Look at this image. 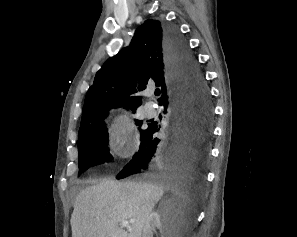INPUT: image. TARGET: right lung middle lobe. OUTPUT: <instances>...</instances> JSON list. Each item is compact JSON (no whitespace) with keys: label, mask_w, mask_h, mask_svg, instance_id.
Instances as JSON below:
<instances>
[{"label":"right lung middle lobe","mask_w":297,"mask_h":237,"mask_svg":"<svg viewBox=\"0 0 297 237\" xmlns=\"http://www.w3.org/2000/svg\"><path fill=\"white\" fill-rule=\"evenodd\" d=\"M136 125L141 126L142 121L135 120ZM147 129H140L141 140L145 136ZM108 133L103 121L93 124L79 133L78 155H79V175L89 167L101 164L104 161L113 159L109 153Z\"/></svg>","instance_id":"right-lung-middle-lobe-1"}]
</instances>
